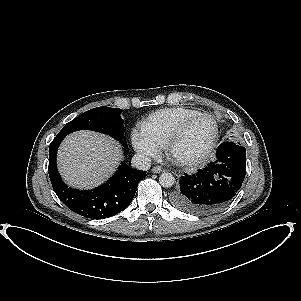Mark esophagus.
<instances>
[{
	"mask_svg": "<svg viewBox=\"0 0 301 301\" xmlns=\"http://www.w3.org/2000/svg\"><path fill=\"white\" fill-rule=\"evenodd\" d=\"M164 171H165V169L161 166H155L152 168L153 173H160V172H164Z\"/></svg>",
	"mask_w": 301,
	"mask_h": 301,
	"instance_id": "obj_1",
	"label": "esophagus"
}]
</instances>
